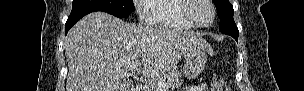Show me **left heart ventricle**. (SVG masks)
Masks as SVG:
<instances>
[{"instance_id":"obj_1","label":"left heart ventricle","mask_w":304,"mask_h":91,"mask_svg":"<svg viewBox=\"0 0 304 91\" xmlns=\"http://www.w3.org/2000/svg\"><path fill=\"white\" fill-rule=\"evenodd\" d=\"M193 15L199 23L207 24L212 20L213 14L211 7L203 0H199V4L193 11Z\"/></svg>"}]
</instances>
